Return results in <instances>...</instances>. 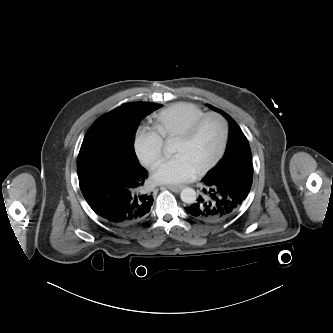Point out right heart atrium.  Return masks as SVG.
Returning <instances> with one entry per match:
<instances>
[{
	"label": "right heart atrium",
	"instance_id": "d8ad5b80",
	"mask_svg": "<svg viewBox=\"0 0 333 333\" xmlns=\"http://www.w3.org/2000/svg\"><path fill=\"white\" fill-rule=\"evenodd\" d=\"M164 141L154 129L141 127L134 140L137 157L147 168L154 167L162 158Z\"/></svg>",
	"mask_w": 333,
	"mask_h": 333
}]
</instances>
